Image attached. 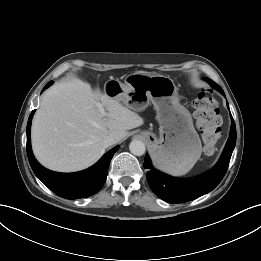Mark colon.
Segmentation results:
<instances>
[{
  "label": "colon",
  "mask_w": 261,
  "mask_h": 261,
  "mask_svg": "<svg viewBox=\"0 0 261 261\" xmlns=\"http://www.w3.org/2000/svg\"><path fill=\"white\" fill-rule=\"evenodd\" d=\"M194 116L208 153L214 151V145L221 133V117L216 100L207 89H201L193 101Z\"/></svg>",
  "instance_id": "obj_1"
}]
</instances>
